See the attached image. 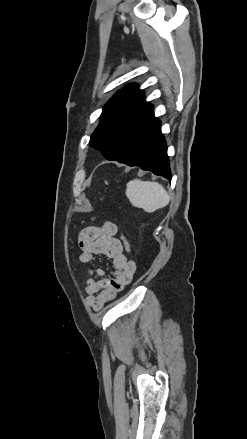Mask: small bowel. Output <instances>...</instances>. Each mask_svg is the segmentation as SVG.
<instances>
[{
  "instance_id": "obj_1",
  "label": "small bowel",
  "mask_w": 247,
  "mask_h": 439,
  "mask_svg": "<svg viewBox=\"0 0 247 439\" xmlns=\"http://www.w3.org/2000/svg\"><path fill=\"white\" fill-rule=\"evenodd\" d=\"M117 227L111 222L102 226L84 228L78 237L80 247L79 260L90 263L96 255H104L112 260L115 272L112 278H104L103 271L89 270L85 279L84 290L88 294V305L98 310L115 298L131 280L136 270L135 263L123 252V245L115 237Z\"/></svg>"
}]
</instances>
